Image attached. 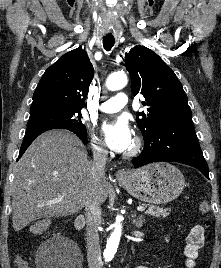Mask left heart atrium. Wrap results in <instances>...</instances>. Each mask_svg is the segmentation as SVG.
Instances as JSON below:
<instances>
[{
  "label": "left heart atrium",
  "instance_id": "39dd6f15",
  "mask_svg": "<svg viewBox=\"0 0 221 268\" xmlns=\"http://www.w3.org/2000/svg\"><path fill=\"white\" fill-rule=\"evenodd\" d=\"M101 130L107 146L113 151L126 152L133 144L132 130L125 118L106 122Z\"/></svg>",
  "mask_w": 221,
  "mask_h": 268
}]
</instances>
